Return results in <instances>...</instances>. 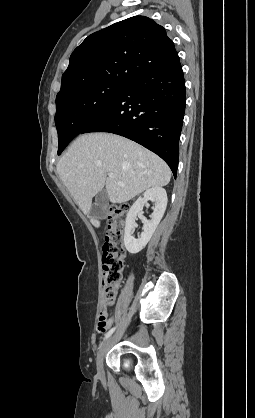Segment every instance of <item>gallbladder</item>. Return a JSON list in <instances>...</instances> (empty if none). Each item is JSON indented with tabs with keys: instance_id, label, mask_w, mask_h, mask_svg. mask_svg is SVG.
<instances>
[{
	"instance_id": "1",
	"label": "gallbladder",
	"mask_w": 255,
	"mask_h": 418,
	"mask_svg": "<svg viewBox=\"0 0 255 418\" xmlns=\"http://www.w3.org/2000/svg\"><path fill=\"white\" fill-rule=\"evenodd\" d=\"M109 201V196L106 189H102L95 196V203L89 211L91 217H101L106 214V207Z\"/></svg>"
}]
</instances>
